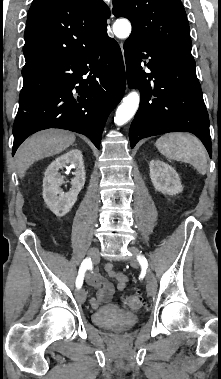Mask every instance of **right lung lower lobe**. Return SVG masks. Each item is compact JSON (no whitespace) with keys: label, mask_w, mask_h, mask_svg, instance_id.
<instances>
[{"label":"right lung lower lobe","mask_w":221,"mask_h":379,"mask_svg":"<svg viewBox=\"0 0 221 379\" xmlns=\"http://www.w3.org/2000/svg\"><path fill=\"white\" fill-rule=\"evenodd\" d=\"M22 75L12 156L29 135L48 128L84 134L99 148L107 117L126 85L121 49L114 39L105 35L87 50Z\"/></svg>","instance_id":"98d812e1"}]
</instances>
